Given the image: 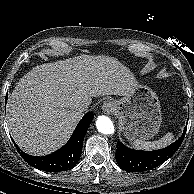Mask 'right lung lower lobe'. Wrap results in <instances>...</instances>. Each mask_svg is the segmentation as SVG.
<instances>
[{
  "mask_svg": "<svg viewBox=\"0 0 194 194\" xmlns=\"http://www.w3.org/2000/svg\"><path fill=\"white\" fill-rule=\"evenodd\" d=\"M93 117H94L93 113L88 112L77 125L70 140L59 150L47 156L43 157L30 156L25 152L21 151L20 148L15 144V142L13 140L12 141L14 142V145L18 152L20 153L21 157L28 164L39 170L58 172L72 169L80 159L83 140L88 130V127L93 120Z\"/></svg>",
  "mask_w": 194,
  "mask_h": 194,
  "instance_id": "98d812e1",
  "label": "right lung lower lobe"
}]
</instances>
